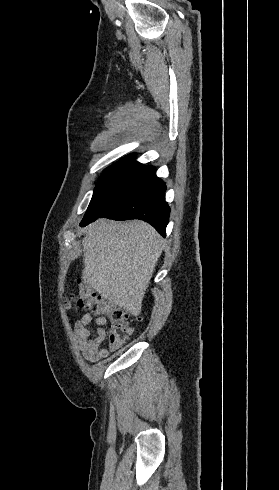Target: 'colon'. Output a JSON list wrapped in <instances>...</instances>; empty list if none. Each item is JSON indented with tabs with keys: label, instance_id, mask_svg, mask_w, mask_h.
I'll use <instances>...</instances> for the list:
<instances>
[{
	"label": "colon",
	"instance_id": "5ec220e1",
	"mask_svg": "<svg viewBox=\"0 0 279 490\" xmlns=\"http://www.w3.org/2000/svg\"><path fill=\"white\" fill-rule=\"evenodd\" d=\"M81 302L87 311L97 317L105 318L109 322L108 338L112 350L120 349L134 334L135 328L128 321L127 314L120 308L105 301L90 285H81L79 298L72 294L65 297V307L73 310Z\"/></svg>",
	"mask_w": 279,
	"mask_h": 490
}]
</instances>
